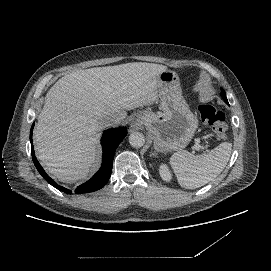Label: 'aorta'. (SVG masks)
<instances>
[{
    "instance_id": "aorta-1",
    "label": "aorta",
    "mask_w": 271,
    "mask_h": 271,
    "mask_svg": "<svg viewBox=\"0 0 271 271\" xmlns=\"http://www.w3.org/2000/svg\"><path fill=\"white\" fill-rule=\"evenodd\" d=\"M129 143L134 148H140L145 144V136L141 132H133L129 136Z\"/></svg>"
}]
</instances>
